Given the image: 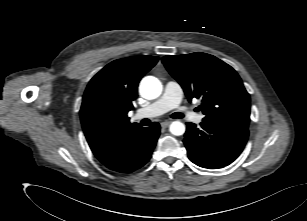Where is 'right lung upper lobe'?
Wrapping results in <instances>:
<instances>
[{"mask_svg":"<svg viewBox=\"0 0 307 221\" xmlns=\"http://www.w3.org/2000/svg\"><path fill=\"white\" fill-rule=\"evenodd\" d=\"M155 56L115 60L89 82L80 109L81 123L94 155L100 156L140 127L130 123L140 79L158 61Z\"/></svg>","mask_w":307,"mask_h":221,"instance_id":"right-lung-upper-lobe-1","label":"right lung upper lobe"}]
</instances>
